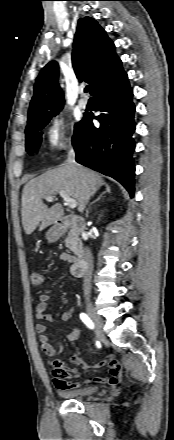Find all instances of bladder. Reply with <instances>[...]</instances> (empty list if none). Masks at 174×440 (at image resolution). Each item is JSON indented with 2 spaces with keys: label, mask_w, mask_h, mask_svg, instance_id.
Segmentation results:
<instances>
[{
  "label": "bladder",
  "mask_w": 174,
  "mask_h": 440,
  "mask_svg": "<svg viewBox=\"0 0 174 440\" xmlns=\"http://www.w3.org/2000/svg\"><path fill=\"white\" fill-rule=\"evenodd\" d=\"M95 391H96L95 387L88 386V387H80L75 390L64 391L62 392V395L66 398H76V397L90 395Z\"/></svg>",
  "instance_id": "31cf9c89"
}]
</instances>
